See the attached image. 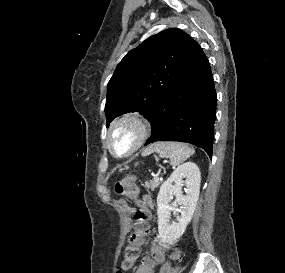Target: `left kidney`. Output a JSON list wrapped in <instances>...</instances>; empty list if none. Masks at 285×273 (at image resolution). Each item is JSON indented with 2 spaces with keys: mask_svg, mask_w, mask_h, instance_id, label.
<instances>
[{
  "mask_svg": "<svg viewBox=\"0 0 285 273\" xmlns=\"http://www.w3.org/2000/svg\"><path fill=\"white\" fill-rule=\"evenodd\" d=\"M186 178V180H183ZM201 174L193 162H186L172 173L161 186L157 196L158 232L161 242L175 243L185 232L195 211L200 192ZM187 187L186 195H182V186ZM172 195L176 199L171 203ZM180 205V216L176 222L170 223L171 212L177 214Z\"/></svg>",
  "mask_w": 285,
  "mask_h": 273,
  "instance_id": "5707ae66",
  "label": "left kidney"
}]
</instances>
